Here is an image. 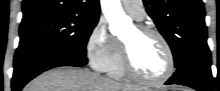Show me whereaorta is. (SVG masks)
I'll return each instance as SVG.
<instances>
[{
  "mask_svg": "<svg viewBox=\"0 0 220 91\" xmlns=\"http://www.w3.org/2000/svg\"><path fill=\"white\" fill-rule=\"evenodd\" d=\"M101 6L109 22L111 34L120 36L122 31L131 24L130 19L122 10L120 0H101Z\"/></svg>",
  "mask_w": 220,
  "mask_h": 91,
  "instance_id": "aorta-1",
  "label": "aorta"
}]
</instances>
